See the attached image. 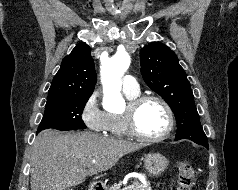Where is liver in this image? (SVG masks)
I'll return each mask as SVG.
<instances>
[{"instance_id":"liver-1","label":"liver","mask_w":238,"mask_h":190,"mask_svg":"<svg viewBox=\"0 0 238 190\" xmlns=\"http://www.w3.org/2000/svg\"><path fill=\"white\" fill-rule=\"evenodd\" d=\"M142 147L89 132L44 130L32 146L31 190H64L79 185L87 176L111 169L121 157Z\"/></svg>"}]
</instances>
